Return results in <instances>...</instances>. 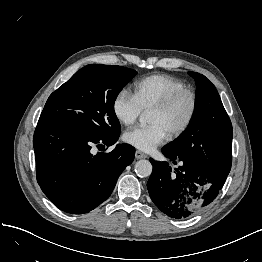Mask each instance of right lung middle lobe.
Instances as JSON below:
<instances>
[{
  "label": "right lung middle lobe",
  "mask_w": 262,
  "mask_h": 262,
  "mask_svg": "<svg viewBox=\"0 0 262 262\" xmlns=\"http://www.w3.org/2000/svg\"><path fill=\"white\" fill-rule=\"evenodd\" d=\"M136 74L122 66L87 65L50 95L39 120L61 122L100 136L120 132L114 103Z\"/></svg>",
  "instance_id": "dd1d6c3e"
}]
</instances>
